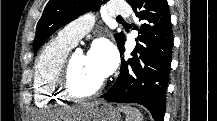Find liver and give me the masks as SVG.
<instances>
[{"label": "liver", "instance_id": "1", "mask_svg": "<svg viewBox=\"0 0 217 121\" xmlns=\"http://www.w3.org/2000/svg\"><path fill=\"white\" fill-rule=\"evenodd\" d=\"M96 105L97 104H87L79 109H72L65 115V119H73V121H87L89 113Z\"/></svg>", "mask_w": 217, "mask_h": 121}]
</instances>
